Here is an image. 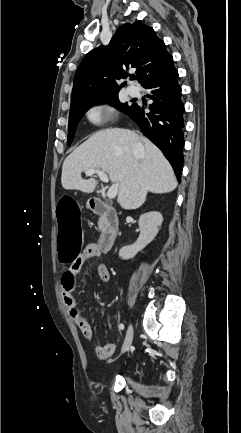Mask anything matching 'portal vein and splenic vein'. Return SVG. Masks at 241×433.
<instances>
[{"mask_svg": "<svg viewBox=\"0 0 241 433\" xmlns=\"http://www.w3.org/2000/svg\"><path fill=\"white\" fill-rule=\"evenodd\" d=\"M85 174L88 175V176L97 174L99 176V178H100L101 181H103L105 183L109 182V178H108L107 174H105L103 171H101L99 169H88V170L85 171ZM117 192H118V185L117 184H113L109 188V190L107 192L108 198L109 199L115 198L116 195H117Z\"/></svg>", "mask_w": 241, "mask_h": 433, "instance_id": "18ae733b", "label": "portal vein and splenic vein"}]
</instances>
